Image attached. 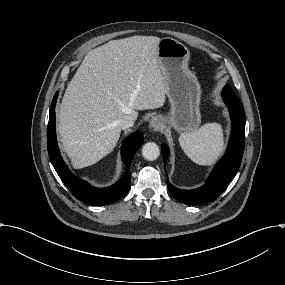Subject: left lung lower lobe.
<instances>
[{"label":"left lung lower lobe","instance_id":"0a47b994","mask_svg":"<svg viewBox=\"0 0 285 285\" xmlns=\"http://www.w3.org/2000/svg\"><path fill=\"white\" fill-rule=\"evenodd\" d=\"M222 98L229 108L231 116V136L223 158L217 163L206 184L194 190L178 189L169 183L170 193L179 201L196 205L216 200L235 177L243 156L245 144V114L240 100L227 84L222 90ZM169 154L167 145H162L164 166Z\"/></svg>","mask_w":285,"mask_h":285}]
</instances>
